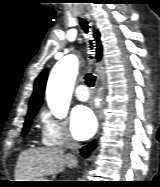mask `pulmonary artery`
<instances>
[{
	"mask_svg": "<svg viewBox=\"0 0 160 187\" xmlns=\"http://www.w3.org/2000/svg\"><path fill=\"white\" fill-rule=\"evenodd\" d=\"M75 96L79 101H86L89 98L87 88L85 85H79L75 91Z\"/></svg>",
	"mask_w": 160,
	"mask_h": 187,
	"instance_id": "1",
	"label": "pulmonary artery"
}]
</instances>
